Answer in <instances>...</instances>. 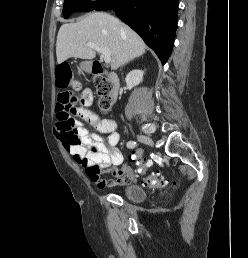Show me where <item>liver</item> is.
<instances>
[{
	"instance_id": "6515ba94",
	"label": "liver",
	"mask_w": 248,
	"mask_h": 258,
	"mask_svg": "<svg viewBox=\"0 0 248 258\" xmlns=\"http://www.w3.org/2000/svg\"><path fill=\"white\" fill-rule=\"evenodd\" d=\"M94 43L106 48L111 54V69L145 53L146 45L130 27L107 13L92 12L77 23L63 24L56 42L57 62L69 58L92 60L94 49L86 46Z\"/></svg>"
}]
</instances>
